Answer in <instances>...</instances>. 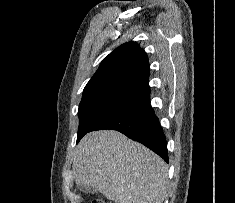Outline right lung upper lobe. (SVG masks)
Masks as SVG:
<instances>
[{"instance_id": "1", "label": "right lung upper lobe", "mask_w": 235, "mask_h": 203, "mask_svg": "<svg viewBox=\"0 0 235 203\" xmlns=\"http://www.w3.org/2000/svg\"><path fill=\"white\" fill-rule=\"evenodd\" d=\"M149 62L136 42L122 44L101 62L96 73L85 86L125 83L149 88Z\"/></svg>"}]
</instances>
